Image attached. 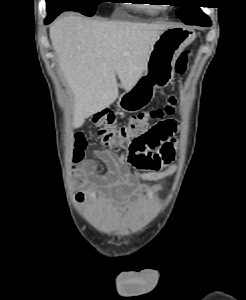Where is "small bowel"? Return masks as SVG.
Listing matches in <instances>:
<instances>
[{
    "label": "small bowel",
    "instance_id": "small-bowel-1",
    "mask_svg": "<svg viewBox=\"0 0 246 300\" xmlns=\"http://www.w3.org/2000/svg\"><path fill=\"white\" fill-rule=\"evenodd\" d=\"M94 153L108 166L107 173L100 175L96 173V163L89 159L77 166L74 183L80 188L76 199L82 202L85 194L97 198L101 193L93 190L90 186L108 187L113 197L123 206L130 199L138 197L144 190L139 183L142 181H156L172 174L176 168L174 163L175 140L167 142L158 152L162 159L155 168H144L139 164L141 155L132 153L129 150L120 154H114L109 150H95ZM161 165L166 169L158 171ZM157 188H149L147 191L152 194Z\"/></svg>",
    "mask_w": 246,
    "mask_h": 300
}]
</instances>
